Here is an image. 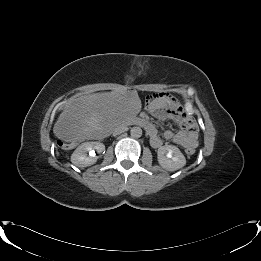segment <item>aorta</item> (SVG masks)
<instances>
[{
    "label": "aorta",
    "mask_w": 261,
    "mask_h": 261,
    "mask_svg": "<svg viewBox=\"0 0 261 261\" xmlns=\"http://www.w3.org/2000/svg\"><path fill=\"white\" fill-rule=\"evenodd\" d=\"M130 134L133 138H140L142 136V129L140 127H132Z\"/></svg>",
    "instance_id": "aorta-1"
}]
</instances>
